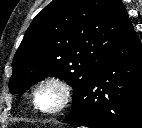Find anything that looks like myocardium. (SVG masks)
Instances as JSON below:
<instances>
[{
  "label": "myocardium",
  "mask_w": 142,
  "mask_h": 128,
  "mask_svg": "<svg viewBox=\"0 0 142 128\" xmlns=\"http://www.w3.org/2000/svg\"><path fill=\"white\" fill-rule=\"evenodd\" d=\"M48 87L55 88L60 95L58 105L52 109H44L40 103L42 92ZM72 98L73 89L66 79L60 76H48L44 78L35 89L33 104L35 109L45 115H57L63 112L70 105Z\"/></svg>",
  "instance_id": "obj_1"
}]
</instances>
